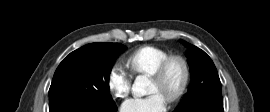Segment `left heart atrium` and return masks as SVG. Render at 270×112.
Listing matches in <instances>:
<instances>
[{"label":"left heart atrium","instance_id":"obj_1","mask_svg":"<svg viewBox=\"0 0 270 112\" xmlns=\"http://www.w3.org/2000/svg\"><path fill=\"white\" fill-rule=\"evenodd\" d=\"M167 100L158 93L147 97L131 98L121 105V112H165Z\"/></svg>","mask_w":270,"mask_h":112}]
</instances>
